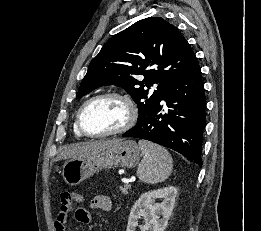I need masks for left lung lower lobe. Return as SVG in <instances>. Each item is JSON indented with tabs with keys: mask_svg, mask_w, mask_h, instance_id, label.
Masks as SVG:
<instances>
[{
	"mask_svg": "<svg viewBox=\"0 0 261 231\" xmlns=\"http://www.w3.org/2000/svg\"><path fill=\"white\" fill-rule=\"evenodd\" d=\"M162 100L168 108L165 114L161 113ZM205 125L206 97L201 68L195 60L187 72L168 84L161 100L122 137L152 141L201 166Z\"/></svg>",
	"mask_w": 261,
	"mask_h": 231,
	"instance_id": "1",
	"label": "left lung lower lobe"
}]
</instances>
